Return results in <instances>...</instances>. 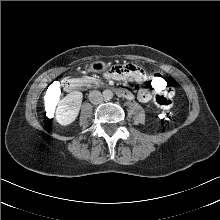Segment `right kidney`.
<instances>
[{
    "instance_id": "1",
    "label": "right kidney",
    "mask_w": 220,
    "mask_h": 220,
    "mask_svg": "<svg viewBox=\"0 0 220 220\" xmlns=\"http://www.w3.org/2000/svg\"><path fill=\"white\" fill-rule=\"evenodd\" d=\"M82 98L81 92L73 91L59 102L55 119L60 125L67 126L75 121L81 107Z\"/></svg>"
}]
</instances>
